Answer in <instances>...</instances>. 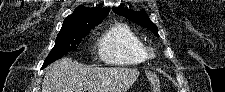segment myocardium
Segmentation results:
<instances>
[{"label":"myocardium","instance_id":"f54148a6","mask_svg":"<svg viewBox=\"0 0 225 92\" xmlns=\"http://www.w3.org/2000/svg\"><path fill=\"white\" fill-rule=\"evenodd\" d=\"M149 56L154 57L155 56V50L153 48L148 49Z\"/></svg>","mask_w":225,"mask_h":92}]
</instances>
